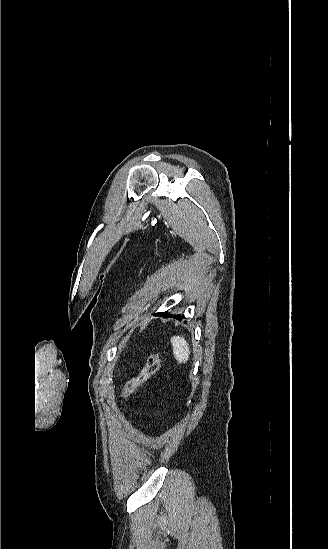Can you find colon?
<instances>
[{
    "label": "colon",
    "mask_w": 328,
    "mask_h": 549,
    "mask_svg": "<svg viewBox=\"0 0 328 549\" xmlns=\"http://www.w3.org/2000/svg\"><path fill=\"white\" fill-rule=\"evenodd\" d=\"M161 355L159 352H152L138 375L129 380L121 394V399L126 400L140 385L147 382L159 369Z\"/></svg>",
    "instance_id": "obj_1"
}]
</instances>
